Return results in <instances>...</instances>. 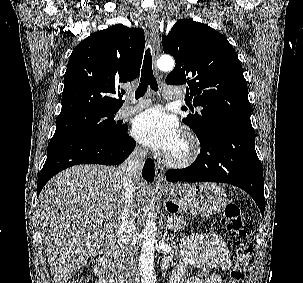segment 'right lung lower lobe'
<instances>
[{"label": "right lung lower lobe", "instance_id": "1", "mask_svg": "<svg viewBox=\"0 0 303 283\" xmlns=\"http://www.w3.org/2000/svg\"><path fill=\"white\" fill-rule=\"evenodd\" d=\"M135 145L127 131L115 138L80 134L53 137L48 145L46 162L38 177L37 196L43 186L60 171L78 164H121ZM154 174V162L149 158L145 162L142 176L146 181L152 182Z\"/></svg>", "mask_w": 303, "mask_h": 283}]
</instances>
